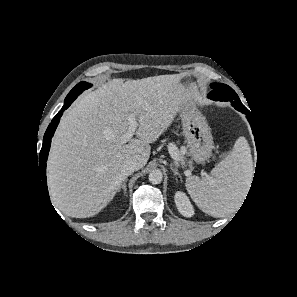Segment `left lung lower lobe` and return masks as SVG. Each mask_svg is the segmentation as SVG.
I'll return each mask as SVG.
<instances>
[{
	"label": "left lung lower lobe",
	"instance_id": "0a47b994",
	"mask_svg": "<svg viewBox=\"0 0 297 297\" xmlns=\"http://www.w3.org/2000/svg\"><path fill=\"white\" fill-rule=\"evenodd\" d=\"M235 109L238 110V111H240V112H242V113H244L246 115L248 121L251 124V127L253 128V124H252V121H251V119H252L251 112L248 109L240 108V107H236ZM256 166H257V164H256Z\"/></svg>",
	"mask_w": 297,
	"mask_h": 297
}]
</instances>
